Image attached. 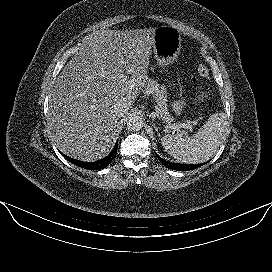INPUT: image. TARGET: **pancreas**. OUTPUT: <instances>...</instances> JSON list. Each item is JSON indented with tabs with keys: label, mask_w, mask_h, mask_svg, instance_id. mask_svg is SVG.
<instances>
[{
	"label": "pancreas",
	"mask_w": 272,
	"mask_h": 272,
	"mask_svg": "<svg viewBox=\"0 0 272 272\" xmlns=\"http://www.w3.org/2000/svg\"><path fill=\"white\" fill-rule=\"evenodd\" d=\"M145 89L154 96L157 103V116L163 122L171 124L174 118L169 114L167 108V90L164 85H160L156 80L148 79ZM175 124V123H174Z\"/></svg>",
	"instance_id": "cf45deb5"
}]
</instances>
